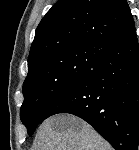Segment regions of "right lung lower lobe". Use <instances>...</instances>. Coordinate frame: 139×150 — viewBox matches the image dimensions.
<instances>
[{"mask_svg": "<svg viewBox=\"0 0 139 150\" xmlns=\"http://www.w3.org/2000/svg\"><path fill=\"white\" fill-rule=\"evenodd\" d=\"M58 113L82 118L115 150H138L139 44L135 26L57 97L43 120Z\"/></svg>", "mask_w": 139, "mask_h": 150, "instance_id": "right-lung-lower-lobe-1", "label": "right lung lower lobe"}]
</instances>
